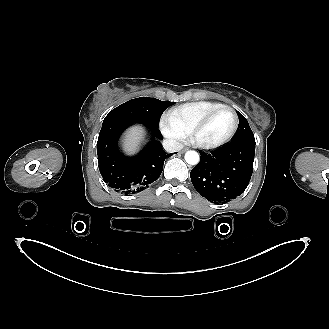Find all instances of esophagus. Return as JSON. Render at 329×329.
<instances>
[{
  "label": "esophagus",
  "mask_w": 329,
  "mask_h": 329,
  "mask_svg": "<svg viewBox=\"0 0 329 329\" xmlns=\"http://www.w3.org/2000/svg\"><path fill=\"white\" fill-rule=\"evenodd\" d=\"M188 149L187 148H184V149H182L181 151H180V153H184V152H186Z\"/></svg>",
  "instance_id": "1"
}]
</instances>
